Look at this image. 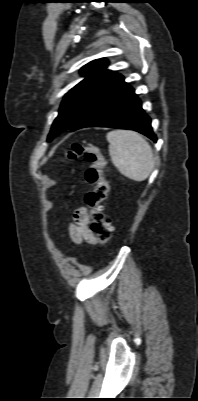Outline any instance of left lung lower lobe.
Returning a JSON list of instances; mask_svg holds the SVG:
<instances>
[{"mask_svg":"<svg viewBox=\"0 0 198 401\" xmlns=\"http://www.w3.org/2000/svg\"><path fill=\"white\" fill-rule=\"evenodd\" d=\"M85 127H115L138 131L154 142L151 120L122 75L117 74L77 118L71 132Z\"/></svg>","mask_w":198,"mask_h":401,"instance_id":"1","label":"left lung lower lobe"}]
</instances>
